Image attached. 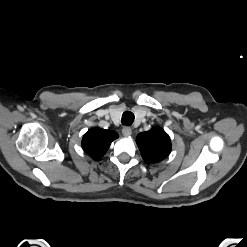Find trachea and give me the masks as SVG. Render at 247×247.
Listing matches in <instances>:
<instances>
[{"label": "trachea", "mask_w": 247, "mask_h": 247, "mask_svg": "<svg viewBox=\"0 0 247 247\" xmlns=\"http://www.w3.org/2000/svg\"><path fill=\"white\" fill-rule=\"evenodd\" d=\"M134 118H135V116H134V114H133L132 112H130V111H125V112L123 113V115H122V120H121V122H122L123 125L130 126V125L133 123Z\"/></svg>", "instance_id": "obj_1"}]
</instances>
